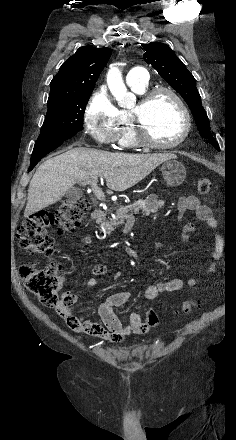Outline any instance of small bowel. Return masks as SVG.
<instances>
[{
  "label": "small bowel",
  "instance_id": "small-bowel-1",
  "mask_svg": "<svg viewBox=\"0 0 236 440\" xmlns=\"http://www.w3.org/2000/svg\"><path fill=\"white\" fill-rule=\"evenodd\" d=\"M178 210L180 216H183L187 211H194L196 213L197 218L206 223L210 228L214 229L217 227V220L214 218L211 209L202 204L199 199L195 196H182L178 199ZM194 232V226L192 224H186L184 226L182 232V240L188 241L190 235ZM81 244L83 245H91L92 238L90 236H82L80 239ZM164 244L159 243L158 247L164 248ZM222 246H221V238L219 235L216 236V246L213 251L214 257L218 258L221 255ZM216 270V265L213 264L209 272L213 273ZM106 266L98 264L93 266L91 273L92 277L86 281V286L88 288H94L99 284V276H102L106 273ZM122 273L117 271L113 278L115 280L120 279ZM200 282L198 277H193L187 281L179 278L157 282L149 285L145 289V298L148 300L156 299L160 294L166 292H176L182 290L184 287L196 286ZM64 296L68 299L70 306L67 310L68 314L76 317L71 311V305H73L78 296L73 292H65ZM129 292H116L111 294L107 299L102 302L98 307V313L101 319V324L96 323L95 321H69L68 329L69 330H77L79 332H83L88 335L97 336L98 338L110 341V342H120L125 337L131 334H144L148 332V325L142 322L140 314L137 312H132L128 316V322L123 323L122 319L117 316L114 312V308L123 306L130 298ZM83 320V319H82Z\"/></svg>",
  "mask_w": 236,
  "mask_h": 440
}]
</instances>
